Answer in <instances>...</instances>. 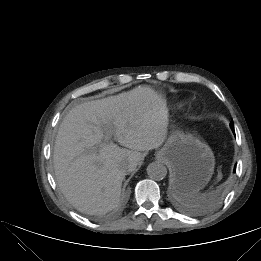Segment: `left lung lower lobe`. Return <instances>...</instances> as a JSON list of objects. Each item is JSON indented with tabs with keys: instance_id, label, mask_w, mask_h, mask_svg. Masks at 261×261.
Segmentation results:
<instances>
[{
	"instance_id": "obj_1",
	"label": "left lung lower lobe",
	"mask_w": 261,
	"mask_h": 261,
	"mask_svg": "<svg viewBox=\"0 0 261 261\" xmlns=\"http://www.w3.org/2000/svg\"><path fill=\"white\" fill-rule=\"evenodd\" d=\"M230 126H231L232 131L234 132V124H233V121L230 122ZM234 172H235V169H234Z\"/></svg>"
}]
</instances>
